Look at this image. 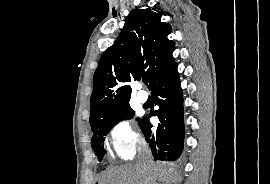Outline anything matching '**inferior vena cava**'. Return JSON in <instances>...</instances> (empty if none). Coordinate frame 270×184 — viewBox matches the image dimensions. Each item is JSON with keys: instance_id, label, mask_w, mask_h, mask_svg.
Returning a JSON list of instances; mask_svg holds the SVG:
<instances>
[{"instance_id": "obj_1", "label": "inferior vena cava", "mask_w": 270, "mask_h": 184, "mask_svg": "<svg viewBox=\"0 0 270 184\" xmlns=\"http://www.w3.org/2000/svg\"><path fill=\"white\" fill-rule=\"evenodd\" d=\"M139 164L144 167L150 169L153 166V161L151 158V151L145 143L141 145V155L139 158Z\"/></svg>"}]
</instances>
